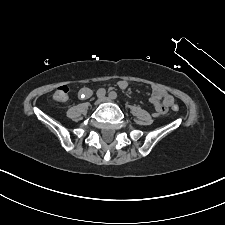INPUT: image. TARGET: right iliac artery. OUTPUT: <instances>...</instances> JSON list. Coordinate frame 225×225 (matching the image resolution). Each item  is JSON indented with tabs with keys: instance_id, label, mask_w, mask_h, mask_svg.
I'll return each instance as SVG.
<instances>
[{
	"instance_id": "82829eb1",
	"label": "right iliac artery",
	"mask_w": 225,
	"mask_h": 225,
	"mask_svg": "<svg viewBox=\"0 0 225 225\" xmlns=\"http://www.w3.org/2000/svg\"><path fill=\"white\" fill-rule=\"evenodd\" d=\"M97 97H99V98H102V97H104L105 96V94H106V90L105 89H103V88H100L98 91H97Z\"/></svg>"
}]
</instances>
